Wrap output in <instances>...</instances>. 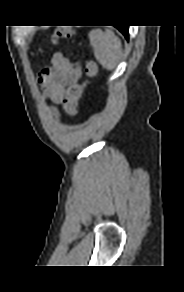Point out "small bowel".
<instances>
[{"instance_id":"1","label":"small bowel","mask_w":184,"mask_h":292,"mask_svg":"<svg viewBox=\"0 0 184 292\" xmlns=\"http://www.w3.org/2000/svg\"><path fill=\"white\" fill-rule=\"evenodd\" d=\"M82 71L78 63L70 61L63 53L57 52L52 56L51 66L42 70L39 82L53 105L52 111L58 116L59 105L65 94L66 87L79 81Z\"/></svg>"}]
</instances>
